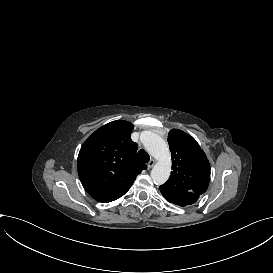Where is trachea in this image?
Listing matches in <instances>:
<instances>
[{"mask_svg": "<svg viewBox=\"0 0 273 273\" xmlns=\"http://www.w3.org/2000/svg\"><path fill=\"white\" fill-rule=\"evenodd\" d=\"M138 159L143 163H147L150 160V156L144 149H140L138 152Z\"/></svg>", "mask_w": 273, "mask_h": 273, "instance_id": "1", "label": "trachea"}]
</instances>
